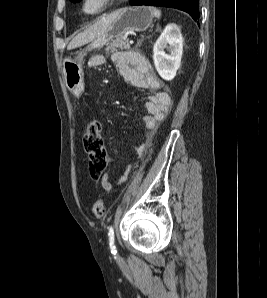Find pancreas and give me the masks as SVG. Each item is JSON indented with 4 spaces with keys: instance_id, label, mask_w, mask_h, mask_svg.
I'll return each mask as SVG.
<instances>
[{
    "instance_id": "obj_1",
    "label": "pancreas",
    "mask_w": 267,
    "mask_h": 298,
    "mask_svg": "<svg viewBox=\"0 0 267 298\" xmlns=\"http://www.w3.org/2000/svg\"><path fill=\"white\" fill-rule=\"evenodd\" d=\"M129 39L125 37H117L114 39L109 46H107L106 51L117 52L118 50L129 49Z\"/></svg>"
}]
</instances>
